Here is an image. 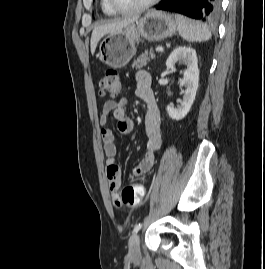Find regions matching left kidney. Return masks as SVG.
<instances>
[{
  "instance_id": "left-kidney-1",
  "label": "left kidney",
  "mask_w": 265,
  "mask_h": 269,
  "mask_svg": "<svg viewBox=\"0 0 265 269\" xmlns=\"http://www.w3.org/2000/svg\"><path fill=\"white\" fill-rule=\"evenodd\" d=\"M177 62H184L187 67L180 82V86H184L185 90L181 91V94H183V98L180 101L181 105L178 108L168 105L167 113L170 118L181 120L190 111L198 89L199 69L196 51L186 46L175 48L166 61L167 69L175 71Z\"/></svg>"
}]
</instances>
